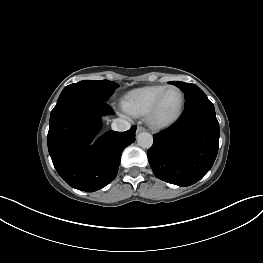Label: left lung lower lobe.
I'll use <instances>...</instances> for the list:
<instances>
[{
	"mask_svg": "<svg viewBox=\"0 0 263 263\" xmlns=\"http://www.w3.org/2000/svg\"><path fill=\"white\" fill-rule=\"evenodd\" d=\"M219 135V123L209 99L186 107L178 123L153 136L147 156L155 176L183 187L196 183L215 161Z\"/></svg>",
	"mask_w": 263,
	"mask_h": 263,
	"instance_id": "1",
	"label": "left lung lower lobe"
}]
</instances>
